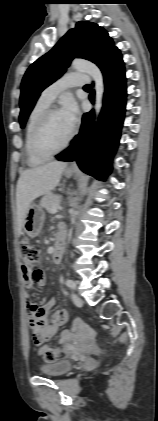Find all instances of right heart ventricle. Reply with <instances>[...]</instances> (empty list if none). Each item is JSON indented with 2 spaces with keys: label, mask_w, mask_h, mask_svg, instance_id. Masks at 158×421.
<instances>
[{
  "label": "right heart ventricle",
  "mask_w": 158,
  "mask_h": 421,
  "mask_svg": "<svg viewBox=\"0 0 158 421\" xmlns=\"http://www.w3.org/2000/svg\"><path fill=\"white\" fill-rule=\"evenodd\" d=\"M49 105L50 104L45 103L41 101L40 99H38L28 115L26 130H25V153H26L27 163L30 166H39L47 160V159L39 157L34 152L33 147H32V133L40 116L47 108H49Z\"/></svg>",
  "instance_id": "obj_1"
}]
</instances>
